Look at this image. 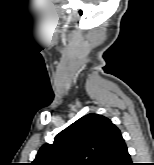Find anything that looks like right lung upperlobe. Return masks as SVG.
<instances>
[{
    "mask_svg": "<svg viewBox=\"0 0 154 165\" xmlns=\"http://www.w3.org/2000/svg\"><path fill=\"white\" fill-rule=\"evenodd\" d=\"M120 136L107 117L91 113L61 131L53 144L43 145L32 165H102Z\"/></svg>",
    "mask_w": 154,
    "mask_h": 165,
    "instance_id": "obj_1",
    "label": "right lung upper lobe"
}]
</instances>
